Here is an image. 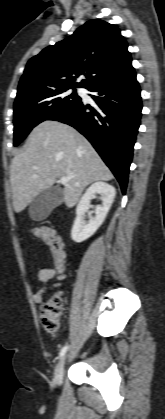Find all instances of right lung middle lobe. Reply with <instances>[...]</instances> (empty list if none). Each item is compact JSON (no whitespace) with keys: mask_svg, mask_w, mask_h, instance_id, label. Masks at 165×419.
<instances>
[{"mask_svg":"<svg viewBox=\"0 0 165 419\" xmlns=\"http://www.w3.org/2000/svg\"><path fill=\"white\" fill-rule=\"evenodd\" d=\"M71 87L41 91L14 103V146L20 144L36 125L69 109L81 98Z\"/></svg>","mask_w":165,"mask_h":419,"instance_id":"right-lung-middle-lobe-1","label":"right lung middle lobe"}]
</instances>
